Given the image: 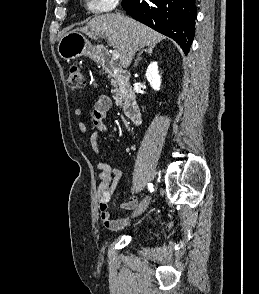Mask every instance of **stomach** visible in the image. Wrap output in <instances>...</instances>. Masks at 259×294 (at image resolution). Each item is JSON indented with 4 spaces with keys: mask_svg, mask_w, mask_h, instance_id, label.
Returning <instances> with one entry per match:
<instances>
[{
    "mask_svg": "<svg viewBox=\"0 0 259 294\" xmlns=\"http://www.w3.org/2000/svg\"><path fill=\"white\" fill-rule=\"evenodd\" d=\"M58 53L65 60L76 59L82 55H93L90 42L79 30L69 31L61 37Z\"/></svg>",
    "mask_w": 259,
    "mask_h": 294,
    "instance_id": "1",
    "label": "stomach"
}]
</instances>
